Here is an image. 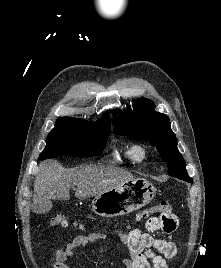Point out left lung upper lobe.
I'll return each instance as SVG.
<instances>
[{"label":"left lung upper lobe","mask_w":221,"mask_h":268,"mask_svg":"<svg viewBox=\"0 0 221 268\" xmlns=\"http://www.w3.org/2000/svg\"><path fill=\"white\" fill-rule=\"evenodd\" d=\"M134 110L127 109L119 118L115 111L114 133L148 140L155 145L161 158L168 165V174L176 178L192 182L188 176L184 160L177 148V139L170 128L168 116L154 112V103L146 98L139 99L134 104Z\"/></svg>","instance_id":"5c2ea615"}]
</instances>
